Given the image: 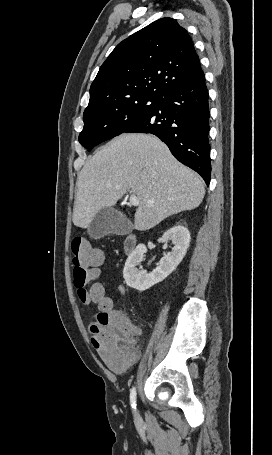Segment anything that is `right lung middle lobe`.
<instances>
[{
  "label": "right lung middle lobe",
  "mask_w": 272,
  "mask_h": 455,
  "mask_svg": "<svg viewBox=\"0 0 272 455\" xmlns=\"http://www.w3.org/2000/svg\"><path fill=\"white\" fill-rule=\"evenodd\" d=\"M161 99V96L155 95H136L85 111L84 128L79 135V142L88 151L92 150L94 146L124 133L148 116L157 108Z\"/></svg>",
  "instance_id": "dd1d6c3e"
}]
</instances>
